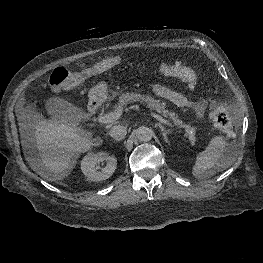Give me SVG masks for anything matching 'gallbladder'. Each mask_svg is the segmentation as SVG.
<instances>
[{"instance_id": "bac80fb5", "label": "gallbladder", "mask_w": 263, "mask_h": 263, "mask_svg": "<svg viewBox=\"0 0 263 263\" xmlns=\"http://www.w3.org/2000/svg\"><path fill=\"white\" fill-rule=\"evenodd\" d=\"M45 109L54 122L72 123L78 121V113L74 107L67 101L51 97L45 102Z\"/></svg>"}]
</instances>
